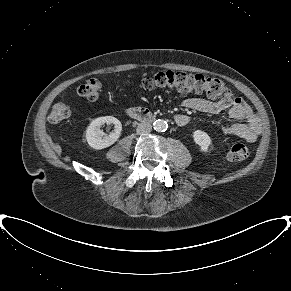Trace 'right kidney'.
Listing matches in <instances>:
<instances>
[{"label": "right kidney", "instance_id": "1", "mask_svg": "<svg viewBox=\"0 0 291 291\" xmlns=\"http://www.w3.org/2000/svg\"><path fill=\"white\" fill-rule=\"evenodd\" d=\"M113 124L114 131L109 135L101 130L104 124ZM122 130L121 122L113 116H104L96 118L86 129V140L88 145L95 149L101 150L113 145L119 138Z\"/></svg>", "mask_w": 291, "mask_h": 291}]
</instances>
